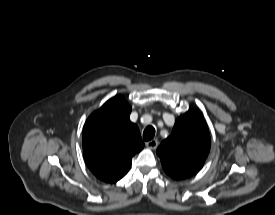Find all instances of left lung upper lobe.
Returning <instances> with one entry per match:
<instances>
[{
  "instance_id": "1",
  "label": "left lung upper lobe",
  "mask_w": 275,
  "mask_h": 215,
  "mask_svg": "<svg viewBox=\"0 0 275 215\" xmlns=\"http://www.w3.org/2000/svg\"><path fill=\"white\" fill-rule=\"evenodd\" d=\"M211 140L203 115L191 109L180 116L171 135L157 149L164 171L175 180L195 175L210 151Z\"/></svg>"
}]
</instances>
